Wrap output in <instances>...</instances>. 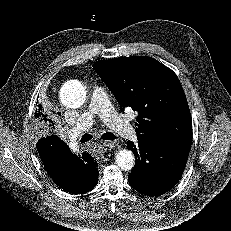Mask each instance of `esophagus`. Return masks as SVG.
Here are the masks:
<instances>
[{
  "instance_id": "obj_1",
  "label": "esophagus",
  "mask_w": 231,
  "mask_h": 231,
  "mask_svg": "<svg viewBox=\"0 0 231 231\" xmlns=\"http://www.w3.org/2000/svg\"><path fill=\"white\" fill-rule=\"evenodd\" d=\"M115 146V142L112 141H102L100 144V149L102 152L111 151Z\"/></svg>"
}]
</instances>
